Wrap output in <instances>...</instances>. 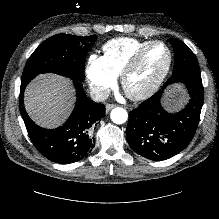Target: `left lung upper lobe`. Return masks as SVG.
Here are the masks:
<instances>
[{"label": "left lung upper lobe", "mask_w": 219, "mask_h": 219, "mask_svg": "<svg viewBox=\"0 0 219 219\" xmlns=\"http://www.w3.org/2000/svg\"><path fill=\"white\" fill-rule=\"evenodd\" d=\"M168 42L173 46L175 55L173 75L171 77L187 72L200 73L196 56L181 40L169 39Z\"/></svg>", "instance_id": "left-lung-upper-lobe-1"}]
</instances>
